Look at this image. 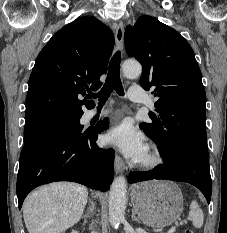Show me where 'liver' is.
I'll use <instances>...</instances> for the list:
<instances>
[{
  "label": "liver",
  "mask_w": 227,
  "mask_h": 233,
  "mask_svg": "<svg viewBox=\"0 0 227 233\" xmlns=\"http://www.w3.org/2000/svg\"><path fill=\"white\" fill-rule=\"evenodd\" d=\"M86 187L56 182L30 193L23 204V218L29 233H62L82 217L87 204Z\"/></svg>",
  "instance_id": "6515ba94"
}]
</instances>
